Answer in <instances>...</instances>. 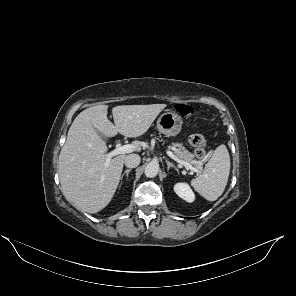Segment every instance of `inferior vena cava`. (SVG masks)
I'll use <instances>...</instances> for the list:
<instances>
[{
	"mask_svg": "<svg viewBox=\"0 0 296 296\" xmlns=\"http://www.w3.org/2000/svg\"><path fill=\"white\" fill-rule=\"evenodd\" d=\"M141 158L137 154H130L125 158V166L128 168H135L140 164Z\"/></svg>",
	"mask_w": 296,
	"mask_h": 296,
	"instance_id": "inferior-vena-cava-1",
	"label": "inferior vena cava"
}]
</instances>
